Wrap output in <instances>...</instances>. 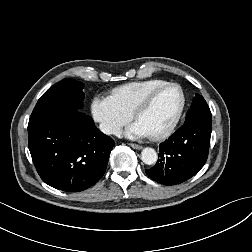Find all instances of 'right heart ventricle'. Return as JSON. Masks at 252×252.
I'll use <instances>...</instances> for the list:
<instances>
[{"label":"right heart ventricle","mask_w":252,"mask_h":252,"mask_svg":"<svg viewBox=\"0 0 252 252\" xmlns=\"http://www.w3.org/2000/svg\"><path fill=\"white\" fill-rule=\"evenodd\" d=\"M163 79L134 81L115 87L111 97L125 110L133 113L138 103L154 88L166 83Z\"/></svg>","instance_id":"1"}]
</instances>
